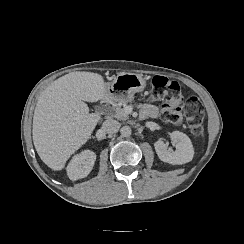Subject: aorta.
<instances>
[{"label":"aorta","mask_w":244,"mask_h":244,"mask_svg":"<svg viewBox=\"0 0 244 244\" xmlns=\"http://www.w3.org/2000/svg\"><path fill=\"white\" fill-rule=\"evenodd\" d=\"M120 133L123 137H129L132 133V130L129 126H123L120 130Z\"/></svg>","instance_id":"762f6f07"}]
</instances>
